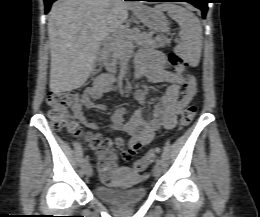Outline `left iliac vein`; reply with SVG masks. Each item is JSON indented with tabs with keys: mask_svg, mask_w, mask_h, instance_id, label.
Listing matches in <instances>:
<instances>
[{
	"mask_svg": "<svg viewBox=\"0 0 260 217\" xmlns=\"http://www.w3.org/2000/svg\"><path fill=\"white\" fill-rule=\"evenodd\" d=\"M152 173H153V176H154V177L158 178V177L160 176V174H161V168H160V166L157 165V164L154 165L153 170H152Z\"/></svg>",
	"mask_w": 260,
	"mask_h": 217,
	"instance_id": "left-iliac-vein-1",
	"label": "left iliac vein"
}]
</instances>
